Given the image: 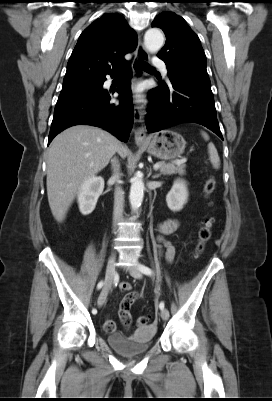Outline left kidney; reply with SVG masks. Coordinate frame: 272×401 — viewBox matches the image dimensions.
Segmentation results:
<instances>
[{"mask_svg": "<svg viewBox=\"0 0 272 401\" xmlns=\"http://www.w3.org/2000/svg\"><path fill=\"white\" fill-rule=\"evenodd\" d=\"M188 199L186 182L177 179L166 196L167 206L172 211H180Z\"/></svg>", "mask_w": 272, "mask_h": 401, "instance_id": "left-kidney-1", "label": "left kidney"}]
</instances>
